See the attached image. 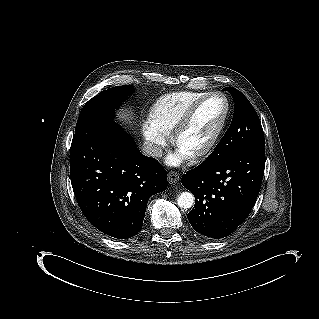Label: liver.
Masks as SVG:
<instances>
[{"label":"liver","mask_w":319,"mask_h":319,"mask_svg":"<svg viewBox=\"0 0 319 319\" xmlns=\"http://www.w3.org/2000/svg\"><path fill=\"white\" fill-rule=\"evenodd\" d=\"M120 119L124 120L125 122H127L129 119H128V115L126 113H121L119 115Z\"/></svg>","instance_id":"obj_1"}]
</instances>
